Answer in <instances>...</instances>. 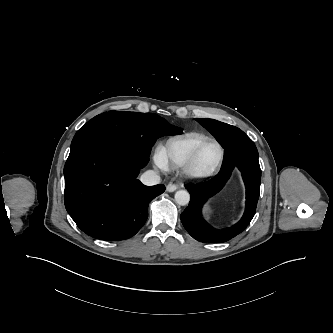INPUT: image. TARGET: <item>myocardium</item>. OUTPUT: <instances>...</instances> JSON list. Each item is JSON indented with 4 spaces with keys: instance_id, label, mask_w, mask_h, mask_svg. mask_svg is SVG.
Masks as SVG:
<instances>
[{
    "instance_id": "obj_1",
    "label": "myocardium",
    "mask_w": 333,
    "mask_h": 333,
    "mask_svg": "<svg viewBox=\"0 0 333 333\" xmlns=\"http://www.w3.org/2000/svg\"><path fill=\"white\" fill-rule=\"evenodd\" d=\"M215 144L219 149V157L216 163L206 171H199L197 169V161L202 149L208 144ZM225 158V150L222 144L215 138H208L201 142L193 151L188 161L183 166L184 173L192 180H206L212 177L221 167Z\"/></svg>"
}]
</instances>
